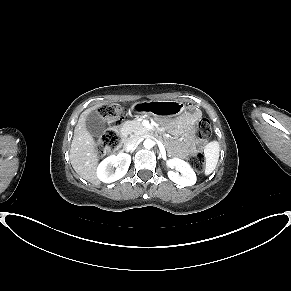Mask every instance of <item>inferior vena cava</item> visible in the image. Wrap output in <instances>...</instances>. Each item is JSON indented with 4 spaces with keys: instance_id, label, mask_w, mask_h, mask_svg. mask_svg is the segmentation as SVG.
Listing matches in <instances>:
<instances>
[{
    "instance_id": "1",
    "label": "inferior vena cava",
    "mask_w": 291,
    "mask_h": 291,
    "mask_svg": "<svg viewBox=\"0 0 291 291\" xmlns=\"http://www.w3.org/2000/svg\"><path fill=\"white\" fill-rule=\"evenodd\" d=\"M139 140L138 139H131L128 144L125 147V150L127 152L132 151L137 145H138Z\"/></svg>"
}]
</instances>
